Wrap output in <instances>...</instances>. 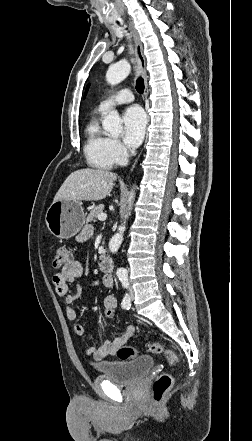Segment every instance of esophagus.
I'll return each mask as SVG.
<instances>
[{
    "instance_id": "1",
    "label": "esophagus",
    "mask_w": 252,
    "mask_h": 441,
    "mask_svg": "<svg viewBox=\"0 0 252 441\" xmlns=\"http://www.w3.org/2000/svg\"><path fill=\"white\" fill-rule=\"evenodd\" d=\"M128 25H129V28H130L132 35H133V39H134V43H135V56H136L139 72L141 73V75L144 78V82H145L144 95H145V98L147 99V97L149 95V88H148V83H147L146 60H145V57L143 54V45L140 40L139 34H138L137 30L135 29L134 25L132 24V22H128ZM136 162H137V160L132 165L131 171L135 167Z\"/></svg>"
}]
</instances>
